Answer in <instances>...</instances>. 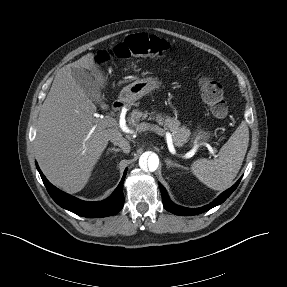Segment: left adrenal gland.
Returning <instances> with one entry per match:
<instances>
[{
    "label": "left adrenal gland",
    "mask_w": 287,
    "mask_h": 287,
    "mask_svg": "<svg viewBox=\"0 0 287 287\" xmlns=\"http://www.w3.org/2000/svg\"><path fill=\"white\" fill-rule=\"evenodd\" d=\"M165 163L167 165V168H170V167H178V168H182V169H186V167L172 161L171 159H165Z\"/></svg>",
    "instance_id": "a2214340"
}]
</instances>
